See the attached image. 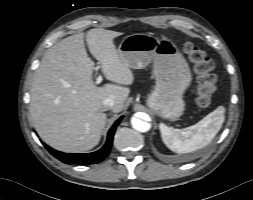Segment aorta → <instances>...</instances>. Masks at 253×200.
I'll return each mask as SVG.
<instances>
[{
  "instance_id": "762f6f07",
  "label": "aorta",
  "mask_w": 253,
  "mask_h": 200,
  "mask_svg": "<svg viewBox=\"0 0 253 200\" xmlns=\"http://www.w3.org/2000/svg\"><path fill=\"white\" fill-rule=\"evenodd\" d=\"M131 125H132V127H133L135 130H137V131H139V132H147V131H149L150 128H151L150 123H148V122H146V121H143V120H141V119H139V118H136V117H133V118L131 119Z\"/></svg>"
}]
</instances>
